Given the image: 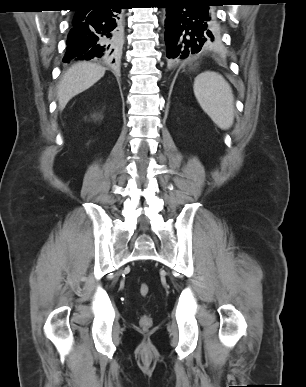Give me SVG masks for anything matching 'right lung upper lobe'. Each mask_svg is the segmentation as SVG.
<instances>
[{"label":"right lung upper lobe","mask_w":306,"mask_h":387,"mask_svg":"<svg viewBox=\"0 0 306 387\" xmlns=\"http://www.w3.org/2000/svg\"><path fill=\"white\" fill-rule=\"evenodd\" d=\"M82 3H94V2H98V1H101V0H80Z\"/></svg>","instance_id":"obj_1"}]
</instances>
